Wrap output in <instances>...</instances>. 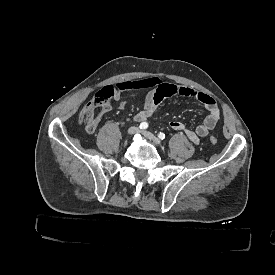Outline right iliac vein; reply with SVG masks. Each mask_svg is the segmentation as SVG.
<instances>
[{"label": "right iliac vein", "instance_id": "right-iliac-vein-1", "mask_svg": "<svg viewBox=\"0 0 275 275\" xmlns=\"http://www.w3.org/2000/svg\"><path fill=\"white\" fill-rule=\"evenodd\" d=\"M139 131V128L136 126H132L128 129V135L132 136L135 133H137Z\"/></svg>", "mask_w": 275, "mask_h": 275}]
</instances>
